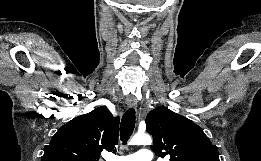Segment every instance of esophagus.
Returning <instances> with one entry per match:
<instances>
[{"instance_id":"esophagus-1","label":"esophagus","mask_w":261,"mask_h":161,"mask_svg":"<svg viewBox=\"0 0 261 161\" xmlns=\"http://www.w3.org/2000/svg\"><path fill=\"white\" fill-rule=\"evenodd\" d=\"M126 104L128 108H135L137 106V99L134 96H129L126 99Z\"/></svg>"}]
</instances>
